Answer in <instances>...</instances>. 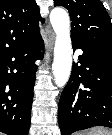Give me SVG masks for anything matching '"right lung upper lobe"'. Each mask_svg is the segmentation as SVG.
I'll list each match as a JSON object with an SVG mask.
<instances>
[{"mask_svg": "<svg viewBox=\"0 0 112 135\" xmlns=\"http://www.w3.org/2000/svg\"><path fill=\"white\" fill-rule=\"evenodd\" d=\"M35 0H0V57L39 35Z\"/></svg>", "mask_w": 112, "mask_h": 135, "instance_id": "right-lung-upper-lobe-1", "label": "right lung upper lobe"}]
</instances>
